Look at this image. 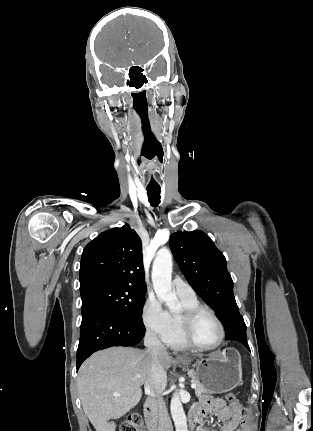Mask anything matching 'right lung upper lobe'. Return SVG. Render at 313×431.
Instances as JSON below:
<instances>
[{
	"label": "right lung upper lobe",
	"mask_w": 313,
	"mask_h": 431,
	"mask_svg": "<svg viewBox=\"0 0 313 431\" xmlns=\"http://www.w3.org/2000/svg\"><path fill=\"white\" fill-rule=\"evenodd\" d=\"M79 279L81 297L116 286L146 291L138 234L126 225L99 234L83 250Z\"/></svg>",
	"instance_id": "obj_1"
}]
</instances>
